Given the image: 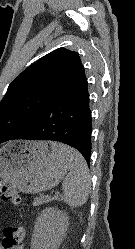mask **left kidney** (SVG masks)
Listing matches in <instances>:
<instances>
[{"instance_id": "left-kidney-1", "label": "left kidney", "mask_w": 135, "mask_h": 249, "mask_svg": "<svg viewBox=\"0 0 135 249\" xmlns=\"http://www.w3.org/2000/svg\"><path fill=\"white\" fill-rule=\"evenodd\" d=\"M68 227V215L56 208H46L36 218L31 238L32 249H58Z\"/></svg>"}]
</instances>
